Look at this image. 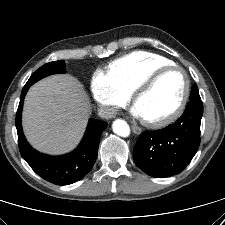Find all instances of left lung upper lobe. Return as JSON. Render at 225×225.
Masks as SVG:
<instances>
[{
  "label": "left lung upper lobe",
  "instance_id": "obj_1",
  "mask_svg": "<svg viewBox=\"0 0 225 225\" xmlns=\"http://www.w3.org/2000/svg\"><path fill=\"white\" fill-rule=\"evenodd\" d=\"M200 98L198 88L196 85L192 86L190 100Z\"/></svg>",
  "mask_w": 225,
  "mask_h": 225
}]
</instances>
